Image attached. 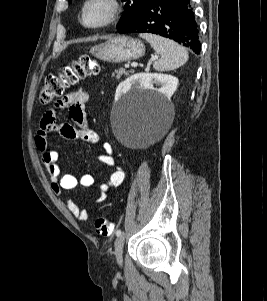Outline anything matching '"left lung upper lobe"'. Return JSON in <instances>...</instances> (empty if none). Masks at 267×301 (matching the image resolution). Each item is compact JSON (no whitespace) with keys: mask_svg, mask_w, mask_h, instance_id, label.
Returning <instances> with one entry per match:
<instances>
[{"mask_svg":"<svg viewBox=\"0 0 267 301\" xmlns=\"http://www.w3.org/2000/svg\"><path fill=\"white\" fill-rule=\"evenodd\" d=\"M71 1V0H69ZM125 2V12L122 14L117 28L133 21L148 0H122Z\"/></svg>","mask_w":267,"mask_h":301,"instance_id":"1","label":"left lung upper lobe"}]
</instances>
